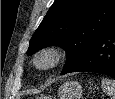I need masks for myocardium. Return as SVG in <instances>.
Returning a JSON list of instances; mask_svg holds the SVG:
<instances>
[{"instance_id": "myocardium-1", "label": "myocardium", "mask_w": 115, "mask_h": 99, "mask_svg": "<svg viewBox=\"0 0 115 99\" xmlns=\"http://www.w3.org/2000/svg\"><path fill=\"white\" fill-rule=\"evenodd\" d=\"M65 51L57 45H49L38 50L33 56V66L39 71H50L61 64Z\"/></svg>"}]
</instances>
